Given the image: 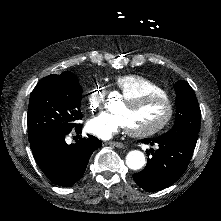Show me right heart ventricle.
I'll use <instances>...</instances> for the list:
<instances>
[{"mask_svg":"<svg viewBox=\"0 0 221 221\" xmlns=\"http://www.w3.org/2000/svg\"><path fill=\"white\" fill-rule=\"evenodd\" d=\"M117 83L121 86L122 98L134 97L139 99L143 95L149 96L153 94L162 97L166 93L163 85L143 76L130 77L124 75L118 78Z\"/></svg>","mask_w":221,"mask_h":221,"instance_id":"obj_1","label":"right heart ventricle"}]
</instances>
